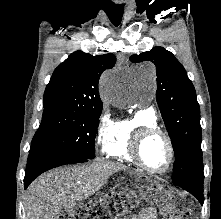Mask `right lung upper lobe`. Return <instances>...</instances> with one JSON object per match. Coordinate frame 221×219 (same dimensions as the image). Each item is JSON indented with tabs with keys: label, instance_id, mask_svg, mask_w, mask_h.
<instances>
[{
	"label": "right lung upper lobe",
	"instance_id": "right-lung-upper-lobe-1",
	"mask_svg": "<svg viewBox=\"0 0 221 219\" xmlns=\"http://www.w3.org/2000/svg\"><path fill=\"white\" fill-rule=\"evenodd\" d=\"M113 54L92 56L82 51L72 53L54 71L44 93V106L102 108L98 82L105 69L115 64Z\"/></svg>",
	"mask_w": 221,
	"mask_h": 219
}]
</instances>
